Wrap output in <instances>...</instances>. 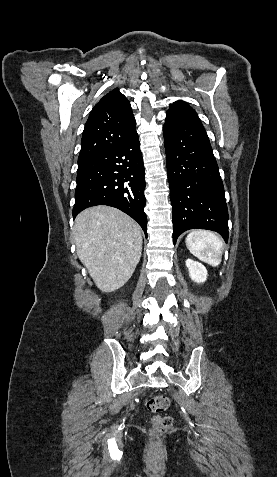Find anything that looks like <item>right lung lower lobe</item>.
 I'll return each mask as SVG.
<instances>
[{"mask_svg":"<svg viewBox=\"0 0 277 477\" xmlns=\"http://www.w3.org/2000/svg\"><path fill=\"white\" fill-rule=\"evenodd\" d=\"M139 146L135 131L117 146L78 163L73 218L91 206H113L137 221L147 237L144 165Z\"/></svg>","mask_w":277,"mask_h":477,"instance_id":"1","label":"right lung lower lobe"}]
</instances>
